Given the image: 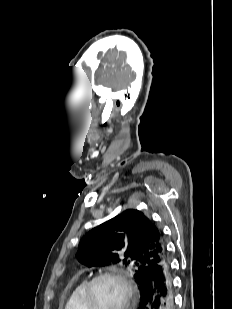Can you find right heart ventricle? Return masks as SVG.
I'll use <instances>...</instances> for the list:
<instances>
[{
    "mask_svg": "<svg viewBox=\"0 0 232 309\" xmlns=\"http://www.w3.org/2000/svg\"><path fill=\"white\" fill-rule=\"evenodd\" d=\"M87 281L79 282L70 293L65 309H85L82 297Z\"/></svg>",
    "mask_w": 232,
    "mask_h": 309,
    "instance_id": "1",
    "label": "right heart ventricle"
}]
</instances>
